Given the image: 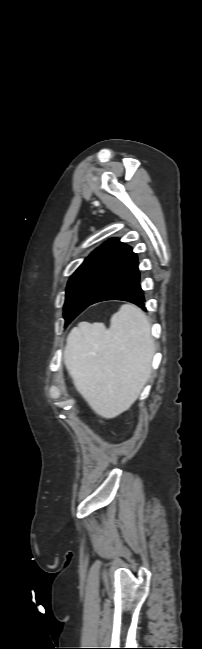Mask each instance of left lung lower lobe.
<instances>
[{
	"instance_id": "0a47b994",
	"label": "left lung lower lobe",
	"mask_w": 202,
	"mask_h": 649,
	"mask_svg": "<svg viewBox=\"0 0 202 649\" xmlns=\"http://www.w3.org/2000/svg\"><path fill=\"white\" fill-rule=\"evenodd\" d=\"M137 255L131 250L123 263L107 280L88 306L106 300H124L136 304L144 311L145 297L140 285Z\"/></svg>"
}]
</instances>
